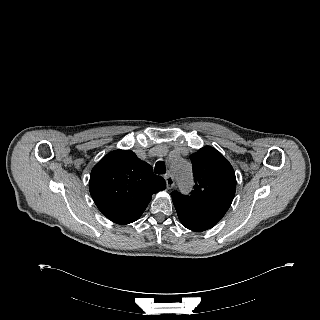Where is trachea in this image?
<instances>
[{"label": "trachea", "mask_w": 320, "mask_h": 320, "mask_svg": "<svg viewBox=\"0 0 320 320\" xmlns=\"http://www.w3.org/2000/svg\"><path fill=\"white\" fill-rule=\"evenodd\" d=\"M155 173L156 174H165L166 168L163 161H158L155 165Z\"/></svg>", "instance_id": "obj_1"}]
</instances>
